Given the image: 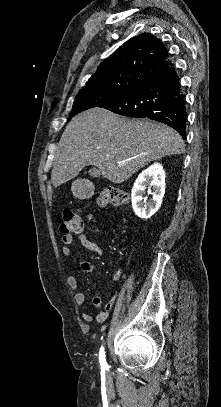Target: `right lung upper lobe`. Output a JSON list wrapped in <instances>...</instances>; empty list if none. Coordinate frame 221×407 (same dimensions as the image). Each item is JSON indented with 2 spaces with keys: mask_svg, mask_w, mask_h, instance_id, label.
I'll list each match as a JSON object with an SVG mask.
<instances>
[{
  "mask_svg": "<svg viewBox=\"0 0 221 407\" xmlns=\"http://www.w3.org/2000/svg\"><path fill=\"white\" fill-rule=\"evenodd\" d=\"M171 64L163 43L151 34L142 33L105 59L83 89L140 85Z\"/></svg>",
  "mask_w": 221,
  "mask_h": 407,
  "instance_id": "obj_1",
  "label": "right lung upper lobe"
}]
</instances>
